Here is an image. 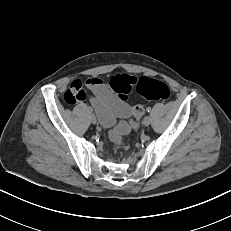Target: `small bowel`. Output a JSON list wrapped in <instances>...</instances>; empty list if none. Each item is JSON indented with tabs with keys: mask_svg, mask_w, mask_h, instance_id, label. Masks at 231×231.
Here are the masks:
<instances>
[{
	"mask_svg": "<svg viewBox=\"0 0 231 231\" xmlns=\"http://www.w3.org/2000/svg\"><path fill=\"white\" fill-rule=\"evenodd\" d=\"M85 88L89 90V100L94 107L100 122L105 127L112 126L117 119L135 116L139 109L142 115V107L128 105L113 89L101 79L92 77L82 82L75 79L65 92L67 102L74 104L87 98Z\"/></svg>",
	"mask_w": 231,
	"mask_h": 231,
	"instance_id": "obj_1",
	"label": "small bowel"
}]
</instances>
